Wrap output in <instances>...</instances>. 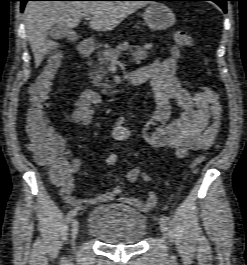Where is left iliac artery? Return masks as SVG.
Wrapping results in <instances>:
<instances>
[{
  "instance_id": "1",
  "label": "left iliac artery",
  "mask_w": 247,
  "mask_h": 265,
  "mask_svg": "<svg viewBox=\"0 0 247 265\" xmlns=\"http://www.w3.org/2000/svg\"><path fill=\"white\" fill-rule=\"evenodd\" d=\"M161 219L165 222H169L170 221V218L168 216H165V215H161Z\"/></svg>"
}]
</instances>
